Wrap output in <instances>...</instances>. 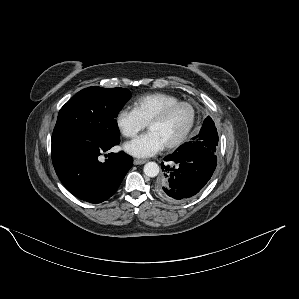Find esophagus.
Returning <instances> with one entry per match:
<instances>
[{"instance_id":"34e87169","label":"esophagus","mask_w":299,"mask_h":299,"mask_svg":"<svg viewBox=\"0 0 299 299\" xmlns=\"http://www.w3.org/2000/svg\"><path fill=\"white\" fill-rule=\"evenodd\" d=\"M146 162H147L146 159H134V161H133V163H134L135 165H141V164H144V163H146Z\"/></svg>"}]
</instances>
